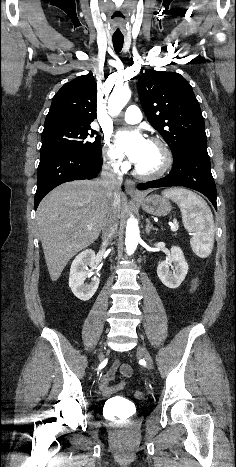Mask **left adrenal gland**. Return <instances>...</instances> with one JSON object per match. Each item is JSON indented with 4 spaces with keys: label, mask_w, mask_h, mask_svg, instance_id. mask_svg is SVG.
Here are the masks:
<instances>
[{
    "label": "left adrenal gland",
    "mask_w": 236,
    "mask_h": 467,
    "mask_svg": "<svg viewBox=\"0 0 236 467\" xmlns=\"http://www.w3.org/2000/svg\"><path fill=\"white\" fill-rule=\"evenodd\" d=\"M151 230H156L157 231L158 229L153 227V225L150 223L149 219H146L145 231H146L147 234H149Z\"/></svg>",
    "instance_id": "1"
}]
</instances>
